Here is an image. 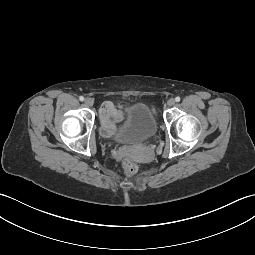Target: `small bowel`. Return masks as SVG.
Returning a JSON list of instances; mask_svg holds the SVG:
<instances>
[{
  "label": "small bowel",
  "mask_w": 255,
  "mask_h": 255,
  "mask_svg": "<svg viewBox=\"0 0 255 255\" xmlns=\"http://www.w3.org/2000/svg\"><path fill=\"white\" fill-rule=\"evenodd\" d=\"M99 117L105 130H111L124 119L122 105L116 107L111 102H104L99 111Z\"/></svg>",
  "instance_id": "obj_1"
}]
</instances>
